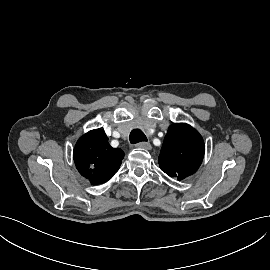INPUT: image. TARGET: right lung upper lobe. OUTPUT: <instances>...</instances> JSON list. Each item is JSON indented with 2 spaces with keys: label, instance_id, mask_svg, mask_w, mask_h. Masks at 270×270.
Segmentation results:
<instances>
[{
  "label": "right lung upper lobe",
  "instance_id": "cb5924a9",
  "mask_svg": "<svg viewBox=\"0 0 270 270\" xmlns=\"http://www.w3.org/2000/svg\"><path fill=\"white\" fill-rule=\"evenodd\" d=\"M123 157L124 152L110 146L102 129L80 137L73 151L77 170L93 185L108 181L118 171Z\"/></svg>",
  "mask_w": 270,
  "mask_h": 270
}]
</instances>
